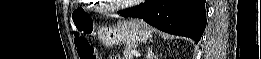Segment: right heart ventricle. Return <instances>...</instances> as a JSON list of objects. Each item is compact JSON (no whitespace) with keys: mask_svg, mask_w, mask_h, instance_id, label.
Segmentation results:
<instances>
[{"mask_svg":"<svg viewBox=\"0 0 261 59\" xmlns=\"http://www.w3.org/2000/svg\"><path fill=\"white\" fill-rule=\"evenodd\" d=\"M95 2H96V1H95ZM93 8H95V9H97V10H101V11L105 10V9H102V7H93Z\"/></svg>","mask_w":261,"mask_h":59,"instance_id":"e07e8e85","label":"right heart ventricle"}]
</instances>
